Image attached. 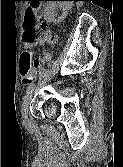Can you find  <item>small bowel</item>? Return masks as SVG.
Returning <instances> with one entry per match:
<instances>
[{"label": "small bowel", "mask_w": 123, "mask_h": 167, "mask_svg": "<svg viewBox=\"0 0 123 167\" xmlns=\"http://www.w3.org/2000/svg\"><path fill=\"white\" fill-rule=\"evenodd\" d=\"M47 41H55V38L48 32L46 31L43 35V37L40 39L39 43L44 44ZM35 78L34 71L30 69V77H23L22 76V84L23 85H28L31 83Z\"/></svg>", "instance_id": "obj_1"}]
</instances>
